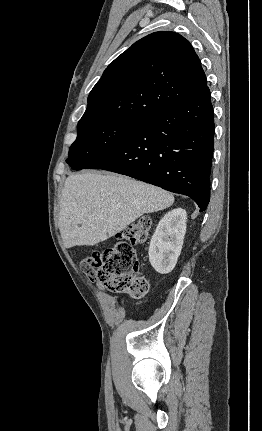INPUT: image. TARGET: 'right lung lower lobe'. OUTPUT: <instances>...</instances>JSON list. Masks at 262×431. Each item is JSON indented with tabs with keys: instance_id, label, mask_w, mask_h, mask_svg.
Here are the masks:
<instances>
[{
	"instance_id": "right-lung-lower-lobe-1",
	"label": "right lung lower lobe",
	"mask_w": 262,
	"mask_h": 431,
	"mask_svg": "<svg viewBox=\"0 0 262 431\" xmlns=\"http://www.w3.org/2000/svg\"><path fill=\"white\" fill-rule=\"evenodd\" d=\"M210 90L141 120L85 169L124 174L191 197L204 211L210 200L214 148Z\"/></svg>"
}]
</instances>
